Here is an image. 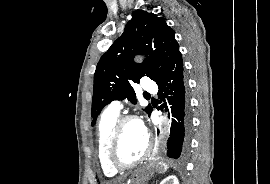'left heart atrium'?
<instances>
[{
  "label": "left heart atrium",
  "instance_id": "39dd6f15",
  "mask_svg": "<svg viewBox=\"0 0 270 184\" xmlns=\"http://www.w3.org/2000/svg\"><path fill=\"white\" fill-rule=\"evenodd\" d=\"M141 125H142L143 130H144L145 132H147L145 126H144L143 124H141Z\"/></svg>",
  "mask_w": 270,
  "mask_h": 184
}]
</instances>
